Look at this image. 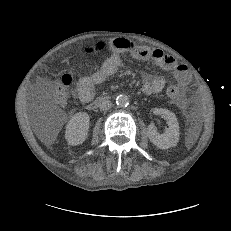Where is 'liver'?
<instances>
[{"mask_svg": "<svg viewBox=\"0 0 231 231\" xmlns=\"http://www.w3.org/2000/svg\"><path fill=\"white\" fill-rule=\"evenodd\" d=\"M56 136H57V132H55V133L53 134V136H51V138H49V140H47V142H45V143L50 144V143L56 138ZM42 140H43V138H42ZM45 141H46V140H45Z\"/></svg>", "mask_w": 231, "mask_h": 231, "instance_id": "6515ba94", "label": "liver"}]
</instances>
